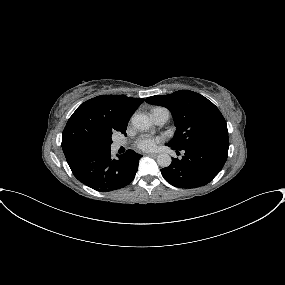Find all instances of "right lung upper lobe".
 <instances>
[{"label":"right lung upper lobe","instance_id":"right-lung-upper-lobe-1","mask_svg":"<svg viewBox=\"0 0 285 285\" xmlns=\"http://www.w3.org/2000/svg\"><path fill=\"white\" fill-rule=\"evenodd\" d=\"M143 101L125 95H101L81 104L62 134L67 162L71 163L84 153L106 148L115 131L126 135L129 119Z\"/></svg>","mask_w":285,"mask_h":285}]
</instances>
